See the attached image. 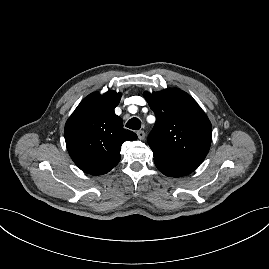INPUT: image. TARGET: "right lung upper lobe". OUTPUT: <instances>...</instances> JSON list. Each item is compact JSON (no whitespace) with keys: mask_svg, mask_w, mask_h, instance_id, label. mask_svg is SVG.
Masks as SVG:
<instances>
[{"mask_svg":"<svg viewBox=\"0 0 269 269\" xmlns=\"http://www.w3.org/2000/svg\"><path fill=\"white\" fill-rule=\"evenodd\" d=\"M121 93H91L84 98L65 125V141L70 157L85 173L102 175L120 161L123 142L137 135L123 128L122 119L114 112Z\"/></svg>","mask_w":269,"mask_h":269,"instance_id":"1","label":"right lung upper lobe"}]
</instances>
